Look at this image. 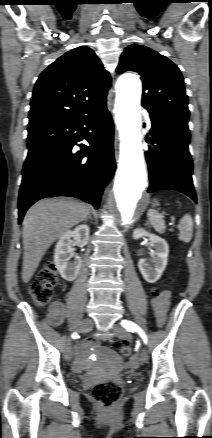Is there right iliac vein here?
<instances>
[{
	"label": "right iliac vein",
	"instance_id": "obj_1",
	"mask_svg": "<svg viewBox=\"0 0 212 438\" xmlns=\"http://www.w3.org/2000/svg\"><path fill=\"white\" fill-rule=\"evenodd\" d=\"M92 327H93L92 320L85 319L78 324L75 331L79 333L88 332L92 329ZM72 357H73V349L71 345L68 344L65 350V358L67 361H71Z\"/></svg>",
	"mask_w": 212,
	"mask_h": 438
}]
</instances>
